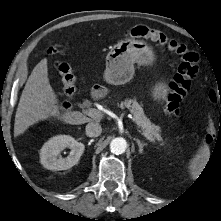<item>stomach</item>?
Listing matches in <instances>:
<instances>
[{
    "mask_svg": "<svg viewBox=\"0 0 221 221\" xmlns=\"http://www.w3.org/2000/svg\"><path fill=\"white\" fill-rule=\"evenodd\" d=\"M155 60L153 49L142 40H122L107 54L104 78L113 85H122L129 82L134 75V64L151 65ZM167 85L157 83L152 91L155 100L165 99Z\"/></svg>",
    "mask_w": 221,
    "mask_h": 221,
    "instance_id": "1",
    "label": "stomach"
}]
</instances>
